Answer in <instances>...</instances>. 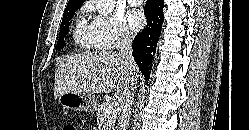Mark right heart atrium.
I'll return each mask as SVG.
<instances>
[{"instance_id":"obj_1","label":"right heart atrium","mask_w":249,"mask_h":130,"mask_svg":"<svg viewBox=\"0 0 249 130\" xmlns=\"http://www.w3.org/2000/svg\"><path fill=\"white\" fill-rule=\"evenodd\" d=\"M86 10L93 12V6L87 5ZM91 27L95 34L97 45L102 50H113L129 44L133 33L119 13L94 15Z\"/></svg>"}]
</instances>
